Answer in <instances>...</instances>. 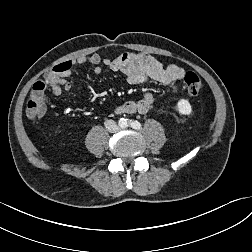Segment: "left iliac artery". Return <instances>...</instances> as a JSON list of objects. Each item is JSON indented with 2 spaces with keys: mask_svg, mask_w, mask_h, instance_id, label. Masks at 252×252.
I'll list each match as a JSON object with an SVG mask.
<instances>
[{
  "mask_svg": "<svg viewBox=\"0 0 252 252\" xmlns=\"http://www.w3.org/2000/svg\"><path fill=\"white\" fill-rule=\"evenodd\" d=\"M130 125L133 129H137V130L141 129V123L138 121H132L130 122Z\"/></svg>",
  "mask_w": 252,
  "mask_h": 252,
  "instance_id": "obj_1",
  "label": "left iliac artery"
}]
</instances>
